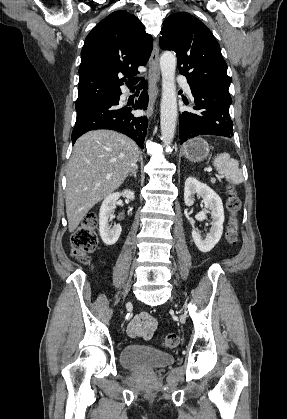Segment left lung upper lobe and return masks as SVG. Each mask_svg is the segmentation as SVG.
<instances>
[{"mask_svg": "<svg viewBox=\"0 0 287 419\" xmlns=\"http://www.w3.org/2000/svg\"><path fill=\"white\" fill-rule=\"evenodd\" d=\"M159 44L176 53L179 72L189 85L228 91L231 77L220 46L210 30L187 12L170 15L163 23Z\"/></svg>", "mask_w": 287, "mask_h": 419, "instance_id": "1", "label": "left lung upper lobe"}]
</instances>
